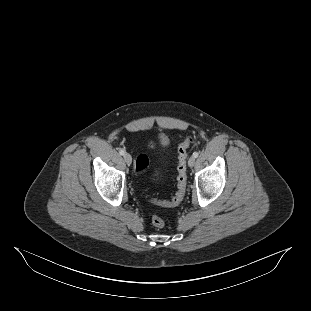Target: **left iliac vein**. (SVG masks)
Returning a JSON list of instances; mask_svg holds the SVG:
<instances>
[{
  "label": "left iliac vein",
  "mask_w": 311,
  "mask_h": 311,
  "mask_svg": "<svg viewBox=\"0 0 311 311\" xmlns=\"http://www.w3.org/2000/svg\"><path fill=\"white\" fill-rule=\"evenodd\" d=\"M195 164V157H190L189 160H188V166L189 167H193Z\"/></svg>",
  "instance_id": "4c4485c4"
}]
</instances>
